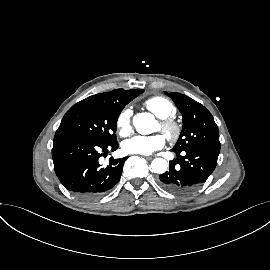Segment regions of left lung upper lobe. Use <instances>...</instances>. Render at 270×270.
<instances>
[{
    "instance_id": "1",
    "label": "left lung upper lobe",
    "mask_w": 270,
    "mask_h": 270,
    "mask_svg": "<svg viewBox=\"0 0 270 270\" xmlns=\"http://www.w3.org/2000/svg\"><path fill=\"white\" fill-rule=\"evenodd\" d=\"M182 114L183 129L172 150L182 152L200 148L220 152L218 127L211 113L192 98L177 93H167Z\"/></svg>"
}]
</instances>
